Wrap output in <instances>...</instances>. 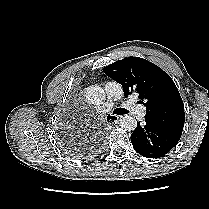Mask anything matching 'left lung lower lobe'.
I'll return each instance as SVG.
<instances>
[{
  "mask_svg": "<svg viewBox=\"0 0 209 209\" xmlns=\"http://www.w3.org/2000/svg\"><path fill=\"white\" fill-rule=\"evenodd\" d=\"M183 128L163 125L145 117L144 124L137 122L131 134L133 148L147 158H160L178 143Z\"/></svg>",
  "mask_w": 209,
  "mask_h": 209,
  "instance_id": "obj_1",
  "label": "left lung lower lobe"
}]
</instances>
